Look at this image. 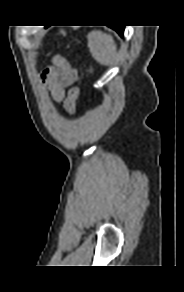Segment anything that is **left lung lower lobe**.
I'll use <instances>...</instances> for the list:
<instances>
[{
	"label": "left lung lower lobe",
	"mask_w": 184,
	"mask_h": 292,
	"mask_svg": "<svg viewBox=\"0 0 184 292\" xmlns=\"http://www.w3.org/2000/svg\"><path fill=\"white\" fill-rule=\"evenodd\" d=\"M120 36H123L124 26L112 27Z\"/></svg>",
	"instance_id": "left-lung-lower-lobe-1"
}]
</instances>
